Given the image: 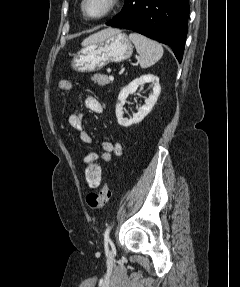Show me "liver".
I'll return each instance as SVG.
<instances>
[{
  "instance_id": "liver-1",
  "label": "liver",
  "mask_w": 240,
  "mask_h": 287,
  "mask_svg": "<svg viewBox=\"0 0 240 287\" xmlns=\"http://www.w3.org/2000/svg\"><path fill=\"white\" fill-rule=\"evenodd\" d=\"M111 30H112L111 28H107V29L99 31L95 34H92L83 41V44L88 43V42L93 41V40H97V39L105 36L106 34H108Z\"/></svg>"
}]
</instances>
